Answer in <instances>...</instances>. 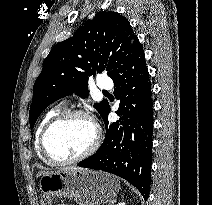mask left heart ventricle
<instances>
[{
  "mask_svg": "<svg viewBox=\"0 0 212 205\" xmlns=\"http://www.w3.org/2000/svg\"><path fill=\"white\" fill-rule=\"evenodd\" d=\"M93 138L92 124L82 117H73L51 130L47 144L56 157L70 159L84 152Z\"/></svg>",
  "mask_w": 212,
  "mask_h": 205,
  "instance_id": "1",
  "label": "left heart ventricle"
}]
</instances>
